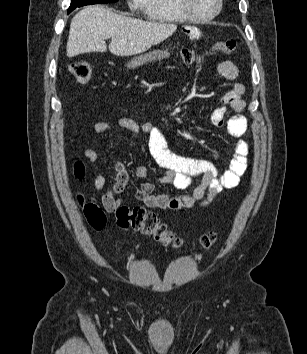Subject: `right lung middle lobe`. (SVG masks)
Here are the masks:
<instances>
[{
    "instance_id": "right-lung-middle-lobe-1",
    "label": "right lung middle lobe",
    "mask_w": 307,
    "mask_h": 354,
    "mask_svg": "<svg viewBox=\"0 0 307 354\" xmlns=\"http://www.w3.org/2000/svg\"><path fill=\"white\" fill-rule=\"evenodd\" d=\"M118 0H72L70 7L68 8V13L74 10L77 7H81L84 5L97 4V3H113Z\"/></svg>"
}]
</instances>
